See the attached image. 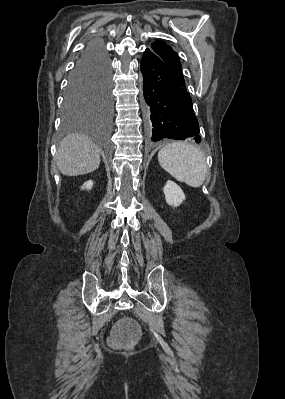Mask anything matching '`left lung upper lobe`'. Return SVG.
Masks as SVG:
<instances>
[{"label":"left lung upper lobe","mask_w":285,"mask_h":399,"mask_svg":"<svg viewBox=\"0 0 285 399\" xmlns=\"http://www.w3.org/2000/svg\"><path fill=\"white\" fill-rule=\"evenodd\" d=\"M152 50L159 55L177 73L182 74V66L179 57L173 49L163 41H155L151 45Z\"/></svg>","instance_id":"left-lung-upper-lobe-1"}]
</instances>
